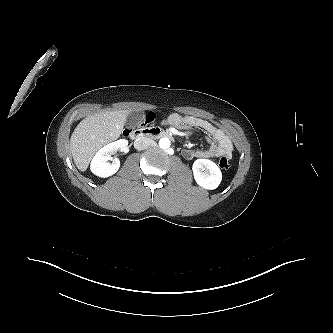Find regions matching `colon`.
I'll use <instances>...</instances> for the list:
<instances>
[{
    "mask_svg": "<svg viewBox=\"0 0 333 333\" xmlns=\"http://www.w3.org/2000/svg\"><path fill=\"white\" fill-rule=\"evenodd\" d=\"M154 120H155V115L153 113L149 112L144 116L143 123L144 124H150ZM219 166H220V168L225 169V170L229 169V167H230L229 157L228 156H222L219 160Z\"/></svg>",
    "mask_w": 333,
    "mask_h": 333,
    "instance_id": "obj_1",
    "label": "colon"
}]
</instances>
